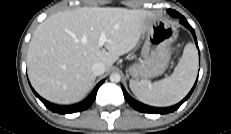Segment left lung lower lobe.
<instances>
[{
  "mask_svg": "<svg viewBox=\"0 0 231 134\" xmlns=\"http://www.w3.org/2000/svg\"><path fill=\"white\" fill-rule=\"evenodd\" d=\"M172 16H176V17L181 18V23L183 25H185L192 32L195 40H197L193 28L189 25V23L186 21V19L181 14H179L178 12L175 11V15H172ZM195 86H196V83L193 86V88L191 89V91L189 92V94L180 103H178L172 107H169V108H155V107H151V106H147V105H144L142 103H139L136 100H134L131 96L128 95V93L126 92L124 87H122V89H123L124 97L127 100V102H129V104L133 108H135L136 110H138L140 112H146V113L165 114V113L173 112L177 108H179L181 106V104L183 102H185L189 98V96L192 94Z\"/></svg>",
  "mask_w": 231,
  "mask_h": 134,
  "instance_id": "0a47b994",
  "label": "left lung lower lobe"
}]
</instances>
